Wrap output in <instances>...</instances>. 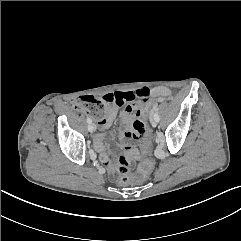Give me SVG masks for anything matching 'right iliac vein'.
Returning a JSON list of instances; mask_svg holds the SVG:
<instances>
[{"mask_svg":"<svg viewBox=\"0 0 241 241\" xmlns=\"http://www.w3.org/2000/svg\"><path fill=\"white\" fill-rule=\"evenodd\" d=\"M95 130H96L95 124L89 123V125H88V131L92 133V132H94Z\"/></svg>","mask_w":241,"mask_h":241,"instance_id":"63e3f726","label":"right iliac vein"}]
</instances>
